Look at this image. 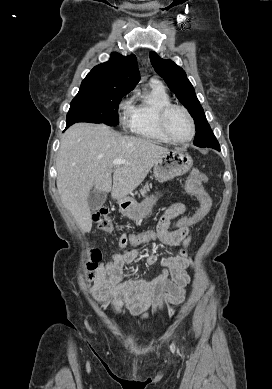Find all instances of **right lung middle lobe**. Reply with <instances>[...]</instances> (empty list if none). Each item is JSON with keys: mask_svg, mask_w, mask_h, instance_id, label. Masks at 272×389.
Instances as JSON below:
<instances>
[{"mask_svg": "<svg viewBox=\"0 0 272 389\" xmlns=\"http://www.w3.org/2000/svg\"><path fill=\"white\" fill-rule=\"evenodd\" d=\"M128 92L94 86H80V90L70 104L67 123H104L116 126L119 123L118 107L121 98Z\"/></svg>", "mask_w": 272, "mask_h": 389, "instance_id": "obj_1", "label": "right lung middle lobe"}]
</instances>
